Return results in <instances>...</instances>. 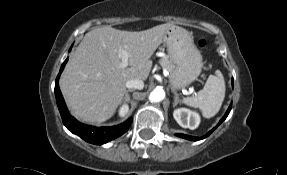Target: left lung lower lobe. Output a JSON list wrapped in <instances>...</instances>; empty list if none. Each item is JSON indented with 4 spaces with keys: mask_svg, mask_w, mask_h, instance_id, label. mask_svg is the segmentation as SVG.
Segmentation results:
<instances>
[{
    "mask_svg": "<svg viewBox=\"0 0 287 175\" xmlns=\"http://www.w3.org/2000/svg\"><path fill=\"white\" fill-rule=\"evenodd\" d=\"M231 107H232V104L229 106L226 114L223 116V118L219 121L218 125L213 128L211 131H209L206 135H204L203 137L199 138V137H194V136H189V135H184V134H177V136L181 137V138H184V139H188V140H191V141H197V140H201V139H204L206 138L207 136H209L225 119L226 117L228 116L230 110H231Z\"/></svg>",
    "mask_w": 287,
    "mask_h": 175,
    "instance_id": "obj_1",
    "label": "left lung lower lobe"
}]
</instances>
